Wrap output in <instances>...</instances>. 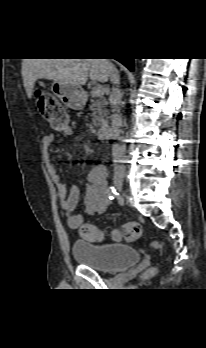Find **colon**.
Wrapping results in <instances>:
<instances>
[{"mask_svg": "<svg viewBox=\"0 0 206 348\" xmlns=\"http://www.w3.org/2000/svg\"><path fill=\"white\" fill-rule=\"evenodd\" d=\"M36 103L41 115L49 122L52 129L61 132H67L70 129L69 117L60 104L59 100L49 93H37ZM81 237L89 241H97L102 239V232L94 225L83 224L79 228ZM142 234V227L139 223L128 222L120 229H116L111 233V237L115 241L125 238L128 241L138 239ZM153 245L159 249H163L162 243L154 241ZM152 272V271H151Z\"/></svg>", "mask_w": 206, "mask_h": 348, "instance_id": "1", "label": "colon"}]
</instances>
